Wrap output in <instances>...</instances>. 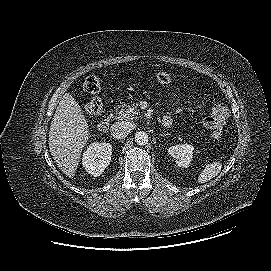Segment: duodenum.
<instances>
[{"label":"duodenum","instance_id":"duodenum-1","mask_svg":"<svg viewBox=\"0 0 271 271\" xmlns=\"http://www.w3.org/2000/svg\"><path fill=\"white\" fill-rule=\"evenodd\" d=\"M110 122H111V118L110 117L106 116V117L102 118L98 122V125H97L98 130L101 131V132H106L109 129ZM162 124L165 127H169L171 125V119L168 118V117H164L162 119Z\"/></svg>","mask_w":271,"mask_h":271}]
</instances>
